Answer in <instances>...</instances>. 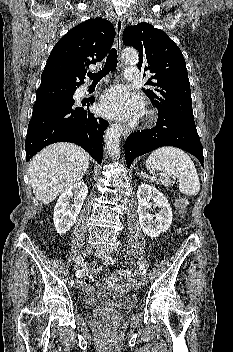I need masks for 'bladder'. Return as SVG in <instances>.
Masks as SVG:
<instances>
[{"mask_svg": "<svg viewBox=\"0 0 233 352\" xmlns=\"http://www.w3.org/2000/svg\"><path fill=\"white\" fill-rule=\"evenodd\" d=\"M136 302L132 293L121 292L105 284L94 285L84 297L86 306L104 305L119 310L131 308Z\"/></svg>", "mask_w": 233, "mask_h": 352, "instance_id": "31cf9c89", "label": "bladder"}]
</instances>
